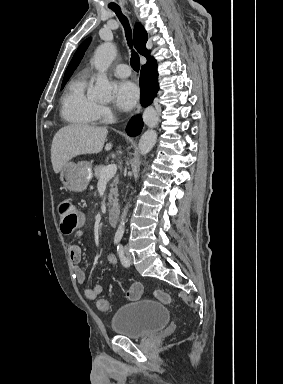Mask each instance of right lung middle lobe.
I'll return each instance as SVG.
<instances>
[{"mask_svg":"<svg viewBox=\"0 0 283 384\" xmlns=\"http://www.w3.org/2000/svg\"><path fill=\"white\" fill-rule=\"evenodd\" d=\"M65 83H62V88L64 87Z\"/></svg>","mask_w":283,"mask_h":384,"instance_id":"right-lung-middle-lobe-1","label":"right lung middle lobe"}]
</instances>
